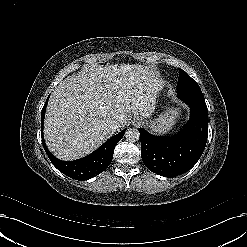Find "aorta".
<instances>
[{
    "label": "aorta",
    "instance_id": "obj_1",
    "mask_svg": "<svg viewBox=\"0 0 247 247\" xmlns=\"http://www.w3.org/2000/svg\"><path fill=\"white\" fill-rule=\"evenodd\" d=\"M139 137H140V133L135 128H132V129L130 128L125 133V138L129 142H136L139 140Z\"/></svg>",
    "mask_w": 247,
    "mask_h": 247
}]
</instances>
